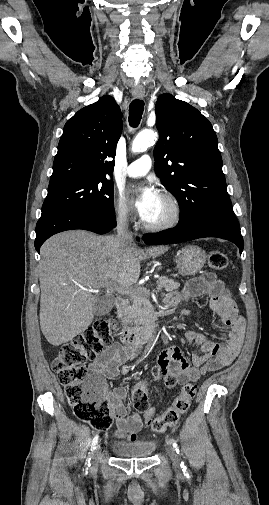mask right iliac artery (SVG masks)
Segmentation results:
<instances>
[{
	"label": "right iliac artery",
	"instance_id": "1",
	"mask_svg": "<svg viewBox=\"0 0 269 505\" xmlns=\"http://www.w3.org/2000/svg\"><path fill=\"white\" fill-rule=\"evenodd\" d=\"M98 439H99V436H98V435H96V436L94 437L93 441H92V444H91V450H93V449L95 448L96 443L98 442ZM90 465H91V464H90V458H87V459H86V462H85V465H84V469H83V471L85 472V474H87V473H88Z\"/></svg>",
	"mask_w": 269,
	"mask_h": 505
}]
</instances>
